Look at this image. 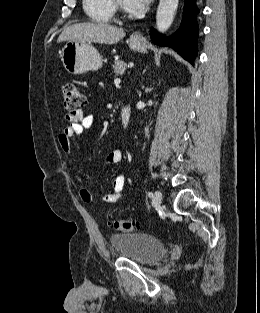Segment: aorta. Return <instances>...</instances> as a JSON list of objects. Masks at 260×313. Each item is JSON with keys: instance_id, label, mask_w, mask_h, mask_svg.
Listing matches in <instances>:
<instances>
[{"instance_id": "obj_1", "label": "aorta", "mask_w": 260, "mask_h": 313, "mask_svg": "<svg viewBox=\"0 0 260 313\" xmlns=\"http://www.w3.org/2000/svg\"><path fill=\"white\" fill-rule=\"evenodd\" d=\"M179 0H160L156 14V26L159 32L164 33L171 26Z\"/></svg>"}]
</instances>
